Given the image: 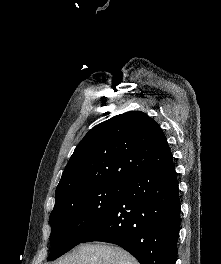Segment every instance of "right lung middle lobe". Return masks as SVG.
<instances>
[{
	"mask_svg": "<svg viewBox=\"0 0 221 264\" xmlns=\"http://www.w3.org/2000/svg\"><path fill=\"white\" fill-rule=\"evenodd\" d=\"M125 182H107L77 192L54 206L50 214L52 261L80 244L113 209Z\"/></svg>",
	"mask_w": 221,
	"mask_h": 264,
	"instance_id": "1",
	"label": "right lung middle lobe"
}]
</instances>
